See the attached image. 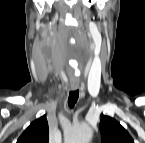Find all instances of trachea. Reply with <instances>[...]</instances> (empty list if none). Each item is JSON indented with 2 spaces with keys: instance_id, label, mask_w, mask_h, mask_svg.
Returning <instances> with one entry per match:
<instances>
[{
  "instance_id": "1",
  "label": "trachea",
  "mask_w": 145,
  "mask_h": 143,
  "mask_svg": "<svg viewBox=\"0 0 145 143\" xmlns=\"http://www.w3.org/2000/svg\"><path fill=\"white\" fill-rule=\"evenodd\" d=\"M78 97H79L78 90L70 91L69 97H68V105L70 108L74 107V105L76 104V102L78 100Z\"/></svg>"
}]
</instances>
